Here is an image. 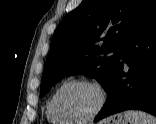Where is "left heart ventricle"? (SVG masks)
<instances>
[{
    "label": "left heart ventricle",
    "mask_w": 156,
    "mask_h": 124,
    "mask_svg": "<svg viewBox=\"0 0 156 124\" xmlns=\"http://www.w3.org/2000/svg\"><path fill=\"white\" fill-rule=\"evenodd\" d=\"M99 96L96 90L86 85L70 86L60 94L57 107L67 118L80 119L96 108Z\"/></svg>",
    "instance_id": "b2bd125f"
}]
</instances>
